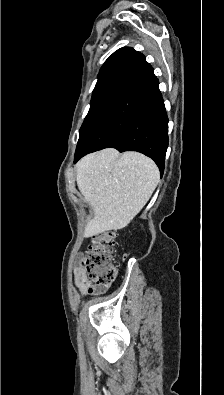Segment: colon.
Masks as SVG:
<instances>
[{
	"label": "colon",
	"mask_w": 224,
	"mask_h": 395,
	"mask_svg": "<svg viewBox=\"0 0 224 395\" xmlns=\"http://www.w3.org/2000/svg\"><path fill=\"white\" fill-rule=\"evenodd\" d=\"M116 237L114 230L94 235L82 258L81 264L88 278L97 284L110 283L117 275V269L112 263Z\"/></svg>",
	"instance_id": "obj_1"
}]
</instances>
